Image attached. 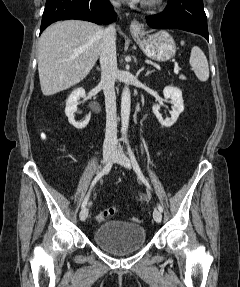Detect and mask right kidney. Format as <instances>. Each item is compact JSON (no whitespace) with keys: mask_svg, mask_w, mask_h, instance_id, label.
<instances>
[{"mask_svg":"<svg viewBox=\"0 0 240 287\" xmlns=\"http://www.w3.org/2000/svg\"><path fill=\"white\" fill-rule=\"evenodd\" d=\"M81 97H85V90L82 87L72 91L66 101L65 114L68 117L69 123L76 129L85 128L88 125L91 117V114H89L82 122L75 120L74 112L77 110L78 101Z\"/></svg>","mask_w":240,"mask_h":287,"instance_id":"ca27d5eb","label":"right kidney"}]
</instances>
